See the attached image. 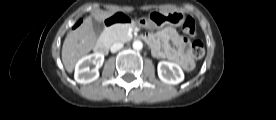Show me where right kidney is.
Returning a JSON list of instances; mask_svg holds the SVG:
<instances>
[{"label": "right kidney", "instance_id": "right-kidney-1", "mask_svg": "<svg viewBox=\"0 0 276 120\" xmlns=\"http://www.w3.org/2000/svg\"><path fill=\"white\" fill-rule=\"evenodd\" d=\"M104 62V55L101 53H94L82 57L75 66L74 78L78 83L87 84L95 81L99 77L98 69ZM94 64L96 67L90 70V65Z\"/></svg>", "mask_w": 276, "mask_h": 120}]
</instances>
